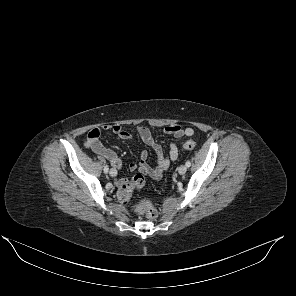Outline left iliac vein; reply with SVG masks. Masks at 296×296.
<instances>
[{
	"label": "left iliac vein",
	"mask_w": 296,
	"mask_h": 296,
	"mask_svg": "<svg viewBox=\"0 0 296 296\" xmlns=\"http://www.w3.org/2000/svg\"><path fill=\"white\" fill-rule=\"evenodd\" d=\"M186 171H187V167H186L185 165H181V166L178 168V173H179L180 175L185 174Z\"/></svg>",
	"instance_id": "1"
}]
</instances>
